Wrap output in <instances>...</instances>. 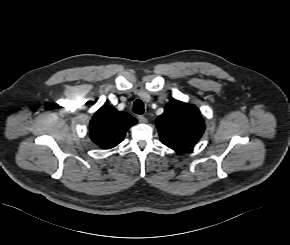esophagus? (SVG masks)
<instances>
[{"instance_id":"1","label":"esophagus","mask_w":290,"mask_h":245,"mask_svg":"<svg viewBox=\"0 0 290 245\" xmlns=\"http://www.w3.org/2000/svg\"><path fill=\"white\" fill-rule=\"evenodd\" d=\"M137 118H138L139 122H141V123H146L147 122V118L144 117L143 115H139Z\"/></svg>"}]
</instances>
